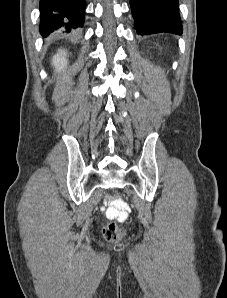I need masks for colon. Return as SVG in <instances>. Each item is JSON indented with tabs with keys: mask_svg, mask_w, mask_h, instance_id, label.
Returning a JSON list of instances; mask_svg holds the SVG:
<instances>
[{
	"mask_svg": "<svg viewBox=\"0 0 227 298\" xmlns=\"http://www.w3.org/2000/svg\"><path fill=\"white\" fill-rule=\"evenodd\" d=\"M127 208L123 201L111 199L106 210L107 222L104 224L102 232L108 242H118L124 236L123 229L119 226V221L126 218Z\"/></svg>",
	"mask_w": 227,
	"mask_h": 298,
	"instance_id": "5ec220e1",
	"label": "colon"
}]
</instances>
